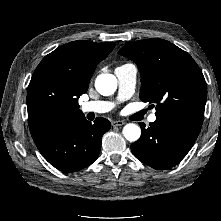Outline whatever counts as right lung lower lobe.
I'll use <instances>...</instances> for the list:
<instances>
[{"instance_id":"right-lung-lower-lobe-1","label":"right lung lower lobe","mask_w":221,"mask_h":221,"mask_svg":"<svg viewBox=\"0 0 221 221\" xmlns=\"http://www.w3.org/2000/svg\"><path fill=\"white\" fill-rule=\"evenodd\" d=\"M110 127L105 118L99 117L92 124L82 116L49 125L32 137L52 166L69 173L85 168L98 158L102 136Z\"/></svg>"}]
</instances>
